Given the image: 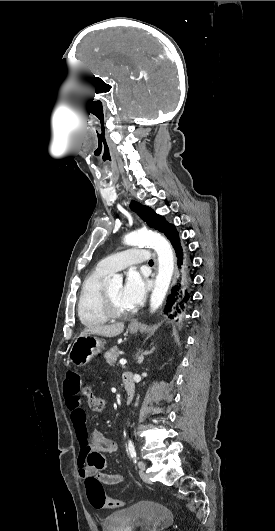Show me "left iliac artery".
<instances>
[{"label": "left iliac artery", "instance_id": "obj_1", "mask_svg": "<svg viewBox=\"0 0 275 531\" xmlns=\"http://www.w3.org/2000/svg\"><path fill=\"white\" fill-rule=\"evenodd\" d=\"M128 451L134 463H136L137 462L136 451H135V446L132 441L128 442Z\"/></svg>", "mask_w": 275, "mask_h": 531}]
</instances>
